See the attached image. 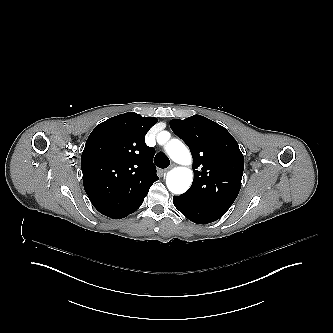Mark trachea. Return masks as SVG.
<instances>
[{"instance_id": "obj_1", "label": "trachea", "mask_w": 333, "mask_h": 333, "mask_svg": "<svg viewBox=\"0 0 333 333\" xmlns=\"http://www.w3.org/2000/svg\"><path fill=\"white\" fill-rule=\"evenodd\" d=\"M154 163L159 168H166L169 166L170 161L164 153H158L154 158Z\"/></svg>"}]
</instances>
